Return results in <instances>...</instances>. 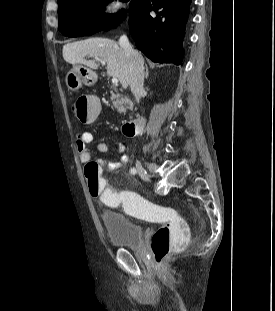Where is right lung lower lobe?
Wrapping results in <instances>:
<instances>
[{
    "label": "right lung lower lobe",
    "mask_w": 275,
    "mask_h": 311,
    "mask_svg": "<svg viewBox=\"0 0 275 311\" xmlns=\"http://www.w3.org/2000/svg\"><path fill=\"white\" fill-rule=\"evenodd\" d=\"M190 3L191 0H158L161 11L156 16H151L153 7L148 0H144L130 14L129 29L136 46L153 62L176 65L182 63L183 38ZM93 33V28L87 25L78 36Z\"/></svg>",
    "instance_id": "obj_1"
}]
</instances>
